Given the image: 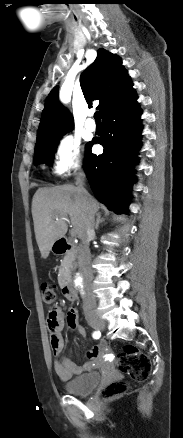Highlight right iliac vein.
Returning a JSON list of instances; mask_svg holds the SVG:
<instances>
[{
  "label": "right iliac vein",
  "mask_w": 183,
  "mask_h": 438,
  "mask_svg": "<svg viewBox=\"0 0 183 438\" xmlns=\"http://www.w3.org/2000/svg\"><path fill=\"white\" fill-rule=\"evenodd\" d=\"M88 321L93 328L98 330L104 329L106 325L105 321L97 314L90 316Z\"/></svg>",
  "instance_id": "right-iliac-vein-1"
}]
</instances>
